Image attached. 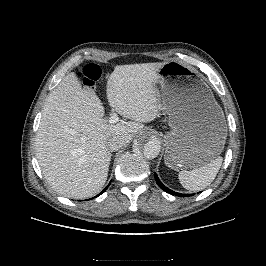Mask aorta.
I'll list each match as a JSON object with an SVG mask.
<instances>
[{
	"label": "aorta",
	"instance_id": "obj_1",
	"mask_svg": "<svg viewBox=\"0 0 266 266\" xmlns=\"http://www.w3.org/2000/svg\"><path fill=\"white\" fill-rule=\"evenodd\" d=\"M136 151H141L147 159L156 158L161 150V142L155 135L143 133L134 144Z\"/></svg>",
	"mask_w": 266,
	"mask_h": 266
}]
</instances>
